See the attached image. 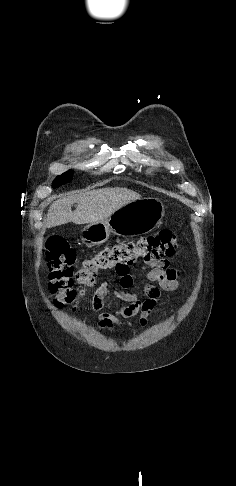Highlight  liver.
<instances>
[{
	"instance_id": "obj_1",
	"label": "liver",
	"mask_w": 236,
	"mask_h": 486,
	"mask_svg": "<svg viewBox=\"0 0 236 486\" xmlns=\"http://www.w3.org/2000/svg\"><path fill=\"white\" fill-rule=\"evenodd\" d=\"M140 198V194L127 188H103L68 195L52 203L45 225L51 228L69 222L77 225L102 222L122 206ZM74 203L77 208L72 212Z\"/></svg>"
}]
</instances>
